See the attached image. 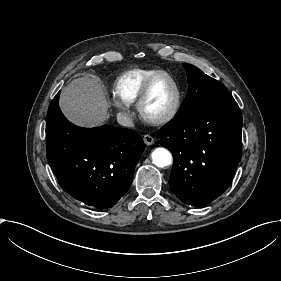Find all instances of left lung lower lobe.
<instances>
[{"label": "left lung lower lobe", "mask_w": 281, "mask_h": 281, "mask_svg": "<svg viewBox=\"0 0 281 281\" xmlns=\"http://www.w3.org/2000/svg\"><path fill=\"white\" fill-rule=\"evenodd\" d=\"M242 116L236 102L176 116L158 137L174 162L172 192L183 203L203 207L230 185L241 159Z\"/></svg>", "instance_id": "obj_1"}]
</instances>
